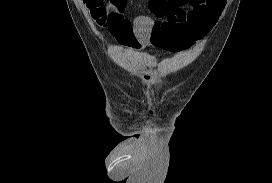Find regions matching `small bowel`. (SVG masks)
Returning a JSON list of instances; mask_svg holds the SVG:
<instances>
[{"instance_id":"obj_1","label":"small bowel","mask_w":272,"mask_h":183,"mask_svg":"<svg viewBox=\"0 0 272 183\" xmlns=\"http://www.w3.org/2000/svg\"><path fill=\"white\" fill-rule=\"evenodd\" d=\"M123 4V19L117 20L108 0L113 25L109 28L121 45L140 50L157 47L181 51L206 36L225 7V0H151L150 8L158 21L148 16H137L132 21L125 17L127 0Z\"/></svg>"}]
</instances>
